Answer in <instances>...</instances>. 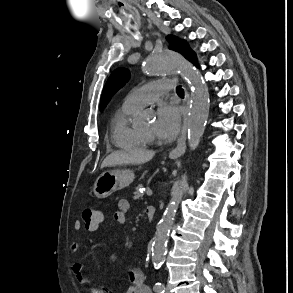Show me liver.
Wrapping results in <instances>:
<instances>
[{
  "label": "liver",
  "instance_id": "6515ba94",
  "mask_svg": "<svg viewBox=\"0 0 293 293\" xmlns=\"http://www.w3.org/2000/svg\"><path fill=\"white\" fill-rule=\"evenodd\" d=\"M154 155L155 152L153 151H138L132 153L117 151L111 153L105 158V160L101 164V168L124 164H144L150 161Z\"/></svg>",
  "mask_w": 293,
  "mask_h": 293
}]
</instances>
